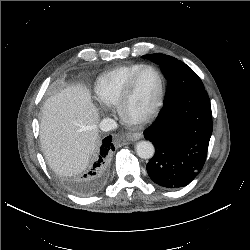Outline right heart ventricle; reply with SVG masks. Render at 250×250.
Segmentation results:
<instances>
[{"label":"right heart ventricle","instance_id":"e07e8e85","mask_svg":"<svg viewBox=\"0 0 250 250\" xmlns=\"http://www.w3.org/2000/svg\"><path fill=\"white\" fill-rule=\"evenodd\" d=\"M143 66L123 65L100 75L94 87L97 102L106 107L116 106L129 80Z\"/></svg>","mask_w":250,"mask_h":250}]
</instances>
